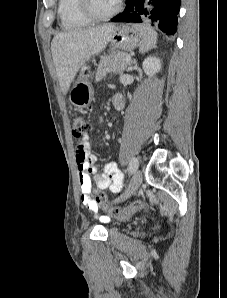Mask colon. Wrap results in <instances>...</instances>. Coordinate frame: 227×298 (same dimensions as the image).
Wrapping results in <instances>:
<instances>
[{"instance_id": "1", "label": "colon", "mask_w": 227, "mask_h": 298, "mask_svg": "<svg viewBox=\"0 0 227 298\" xmlns=\"http://www.w3.org/2000/svg\"><path fill=\"white\" fill-rule=\"evenodd\" d=\"M90 131V124L88 120L80 115H75L72 118V133L77 141V150L82 152L86 146V138ZM97 204L109 207L108 198L105 193L99 191L96 194ZM132 208H112L113 218H130V213H137V207H145V202H131Z\"/></svg>"}]
</instances>
